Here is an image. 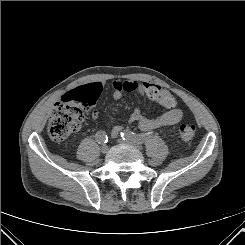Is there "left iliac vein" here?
<instances>
[{"instance_id": "1", "label": "left iliac vein", "mask_w": 245, "mask_h": 245, "mask_svg": "<svg viewBox=\"0 0 245 245\" xmlns=\"http://www.w3.org/2000/svg\"><path fill=\"white\" fill-rule=\"evenodd\" d=\"M118 142L119 143H127V144H129V145H131V146H133V147H135V148H137L139 150L142 148L140 144H138L136 142H133L131 140L123 141L122 139H119Z\"/></svg>"}]
</instances>
